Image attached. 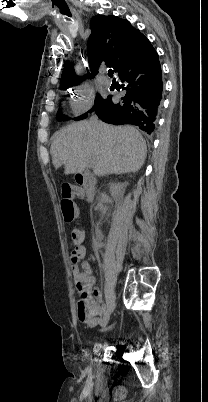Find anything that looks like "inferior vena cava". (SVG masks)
Masks as SVG:
<instances>
[{
  "label": "inferior vena cava",
  "mask_w": 208,
  "mask_h": 402,
  "mask_svg": "<svg viewBox=\"0 0 208 402\" xmlns=\"http://www.w3.org/2000/svg\"><path fill=\"white\" fill-rule=\"evenodd\" d=\"M89 124H91V126H99L100 122L97 118V116H91L90 120H89ZM108 156V152H106L105 156H103V158H107Z\"/></svg>",
  "instance_id": "inferior-vena-cava-1"
}]
</instances>
